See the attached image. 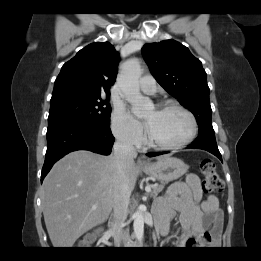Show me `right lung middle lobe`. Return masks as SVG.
Returning a JSON list of instances; mask_svg holds the SVG:
<instances>
[{
    "label": "right lung middle lobe",
    "instance_id": "obj_1",
    "mask_svg": "<svg viewBox=\"0 0 261 261\" xmlns=\"http://www.w3.org/2000/svg\"><path fill=\"white\" fill-rule=\"evenodd\" d=\"M110 114L108 99L100 95L61 92L52 94L48 126L71 121L110 126Z\"/></svg>",
    "mask_w": 261,
    "mask_h": 261
}]
</instances>
